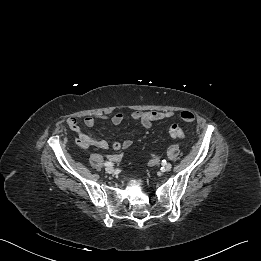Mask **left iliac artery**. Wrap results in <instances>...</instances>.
Returning a JSON list of instances; mask_svg holds the SVG:
<instances>
[{"label":"left iliac artery","mask_w":261,"mask_h":261,"mask_svg":"<svg viewBox=\"0 0 261 261\" xmlns=\"http://www.w3.org/2000/svg\"><path fill=\"white\" fill-rule=\"evenodd\" d=\"M165 164H167L166 160H162V165H165Z\"/></svg>","instance_id":"44dca946"}]
</instances>
